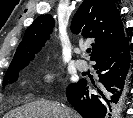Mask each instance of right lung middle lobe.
Listing matches in <instances>:
<instances>
[{
  "label": "right lung middle lobe",
  "mask_w": 133,
  "mask_h": 118,
  "mask_svg": "<svg viewBox=\"0 0 133 118\" xmlns=\"http://www.w3.org/2000/svg\"><path fill=\"white\" fill-rule=\"evenodd\" d=\"M28 63L29 62L21 63V64H17V65L9 67L7 72H6V75L4 77L5 84H6L8 79H17L18 78L19 70L23 69ZM10 82H12V81H10Z\"/></svg>",
  "instance_id": "right-lung-middle-lobe-1"
}]
</instances>
